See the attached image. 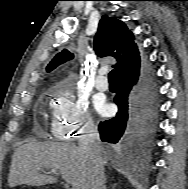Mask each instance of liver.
Segmentation results:
<instances>
[{"label": "liver", "instance_id": "obj_1", "mask_svg": "<svg viewBox=\"0 0 188 189\" xmlns=\"http://www.w3.org/2000/svg\"><path fill=\"white\" fill-rule=\"evenodd\" d=\"M89 169L88 158L75 144L32 140L15 150L8 184L12 188L54 184L57 179L45 172L54 170L73 189H86Z\"/></svg>", "mask_w": 188, "mask_h": 189}]
</instances>
